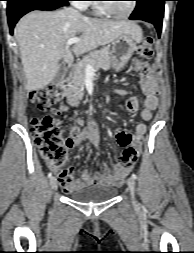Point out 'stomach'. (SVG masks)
I'll return each mask as SVG.
<instances>
[{"label": "stomach", "instance_id": "1", "mask_svg": "<svg viewBox=\"0 0 194 253\" xmlns=\"http://www.w3.org/2000/svg\"><path fill=\"white\" fill-rule=\"evenodd\" d=\"M136 49V38L131 34H122L112 42L110 63L113 69L119 71L130 59Z\"/></svg>", "mask_w": 194, "mask_h": 253}]
</instances>
